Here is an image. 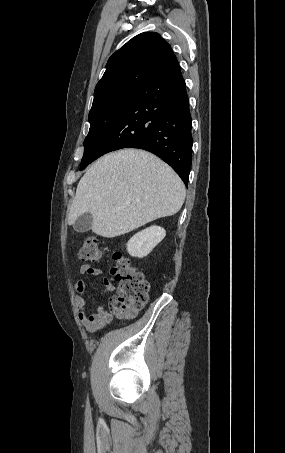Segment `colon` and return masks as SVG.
Wrapping results in <instances>:
<instances>
[{
    "label": "colon",
    "mask_w": 285,
    "mask_h": 453,
    "mask_svg": "<svg viewBox=\"0 0 285 453\" xmlns=\"http://www.w3.org/2000/svg\"><path fill=\"white\" fill-rule=\"evenodd\" d=\"M83 261L99 262L102 258L100 240L96 236L87 237L79 251ZM111 273L117 281L114 300L125 316H134L148 301L150 284L142 271L128 258L117 252L113 255Z\"/></svg>",
    "instance_id": "1"
}]
</instances>
